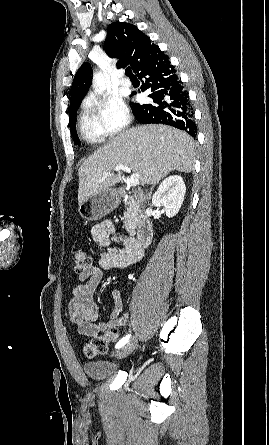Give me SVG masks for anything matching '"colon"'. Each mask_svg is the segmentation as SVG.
<instances>
[{
  "mask_svg": "<svg viewBox=\"0 0 269 445\" xmlns=\"http://www.w3.org/2000/svg\"><path fill=\"white\" fill-rule=\"evenodd\" d=\"M74 271L77 274L83 273L91 265V258L82 250H76L72 254ZM119 333L115 330L108 332L103 336L94 337L84 347L87 357L93 358L99 354H105L108 350V344L118 339Z\"/></svg>",
  "mask_w": 269,
  "mask_h": 445,
  "instance_id": "5ec220e1",
  "label": "colon"
}]
</instances>
